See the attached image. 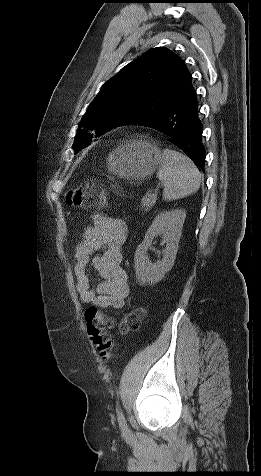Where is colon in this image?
<instances>
[{
	"mask_svg": "<svg viewBox=\"0 0 261 476\" xmlns=\"http://www.w3.org/2000/svg\"><path fill=\"white\" fill-rule=\"evenodd\" d=\"M69 206L84 210H99L106 205L107 196L102 184L97 182H83L70 189L65 196ZM144 318V310L136 308L128 312L118 323L122 333H128L138 328ZM86 329L89 338L97 347L104 359H108L115 342L108 333L112 320L98 307L91 306L85 311Z\"/></svg>",
	"mask_w": 261,
	"mask_h": 476,
	"instance_id": "colon-1",
	"label": "colon"
}]
</instances>
